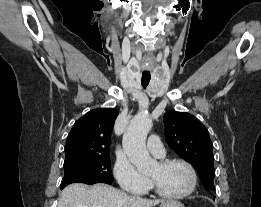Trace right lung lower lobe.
<instances>
[{
  "label": "right lung lower lobe",
  "instance_id": "98d812e1",
  "mask_svg": "<svg viewBox=\"0 0 261 207\" xmlns=\"http://www.w3.org/2000/svg\"><path fill=\"white\" fill-rule=\"evenodd\" d=\"M107 183V184H112V182H105V181H95V182H90V183H88L89 185H91V184H94V183ZM61 189H63V188H61Z\"/></svg>",
  "mask_w": 261,
  "mask_h": 207
}]
</instances>
